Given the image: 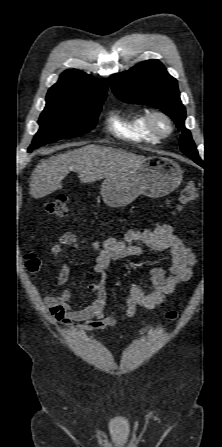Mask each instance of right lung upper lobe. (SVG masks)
<instances>
[{
    "instance_id": "1",
    "label": "right lung upper lobe",
    "mask_w": 222,
    "mask_h": 447,
    "mask_svg": "<svg viewBox=\"0 0 222 447\" xmlns=\"http://www.w3.org/2000/svg\"><path fill=\"white\" fill-rule=\"evenodd\" d=\"M107 80L94 79L92 76L75 69L66 70L48 93H63L76 97L106 96Z\"/></svg>"
}]
</instances>
